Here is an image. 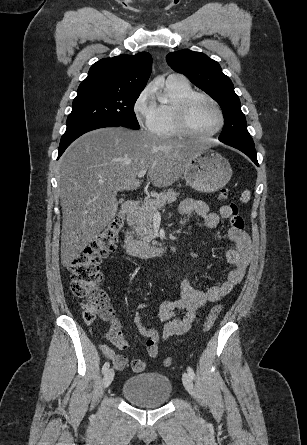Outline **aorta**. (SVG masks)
Segmentation results:
<instances>
[{
    "label": "aorta",
    "mask_w": 307,
    "mask_h": 445,
    "mask_svg": "<svg viewBox=\"0 0 307 445\" xmlns=\"http://www.w3.org/2000/svg\"><path fill=\"white\" fill-rule=\"evenodd\" d=\"M159 102H168L167 98H165V96H161V98H159Z\"/></svg>",
    "instance_id": "aorta-1"
}]
</instances>
